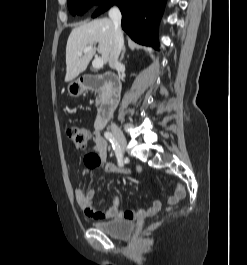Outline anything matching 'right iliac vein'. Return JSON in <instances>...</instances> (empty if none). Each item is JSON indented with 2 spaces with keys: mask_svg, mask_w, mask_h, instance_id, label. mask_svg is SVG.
Segmentation results:
<instances>
[{
  "mask_svg": "<svg viewBox=\"0 0 247 265\" xmlns=\"http://www.w3.org/2000/svg\"><path fill=\"white\" fill-rule=\"evenodd\" d=\"M111 131L116 138L121 150L124 152L127 144L124 134L118 127H112Z\"/></svg>",
  "mask_w": 247,
  "mask_h": 265,
  "instance_id": "63e3f726",
  "label": "right iliac vein"
}]
</instances>
